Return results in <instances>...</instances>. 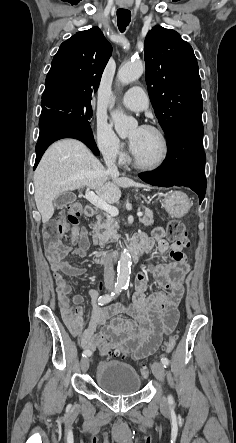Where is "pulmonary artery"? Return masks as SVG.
<instances>
[{
	"instance_id": "pulmonary-artery-1",
	"label": "pulmonary artery",
	"mask_w": 236,
	"mask_h": 443,
	"mask_svg": "<svg viewBox=\"0 0 236 443\" xmlns=\"http://www.w3.org/2000/svg\"><path fill=\"white\" fill-rule=\"evenodd\" d=\"M122 103L131 110L141 111L148 107V97L141 87H132L122 97Z\"/></svg>"
}]
</instances>
